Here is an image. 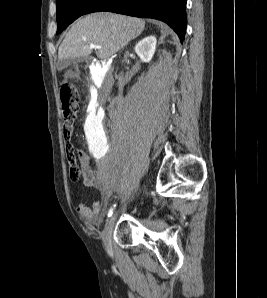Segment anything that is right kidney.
Masks as SVG:
<instances>
[{
    "instance_id": "obj_1",
    "label": "right kidney",
    "mask_w": 267,
    "mask_h": 298,
    "mask_svg": "<svg viewBox=\"0 0 267 298\" xmlns=\"http://www.w3.org/2000/svg\"><path fill=\"white\" fill-rule=\"evenodd\" d=\"M157 39L155 36L150 35L140 40L135 46V52L140 57L142 62L148 63L151 61L155 49Z\"/></svg>"
}]
</instances>
